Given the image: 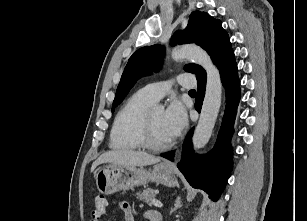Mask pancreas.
I'll use <instances>...</instances> for the list:
<instances>
[{"mask_svg":"<svg viewBox=\"0 0 307 221\" xmlns=\"http://www.w3.org/2000/svg\"><path fill=\"white\" fill-rule=\"evenodd\" d=\"M155 196L156 192L151 188H147L146 190L137 193V198L143 202H146L150 206L152 205L151 200L155 198Z\"/></svg>","mask_w":307,"mask_h":221,"instance_id":"obj_1","label":"pancreas"}]
</instances>
